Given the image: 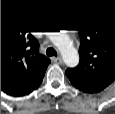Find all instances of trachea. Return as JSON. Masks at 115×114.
Returning a JSON list of instances; mask_svg holds the SVG:
<instances>
[{"label": "trachea", "instance_id": "3493384b", "mask_svg": "<svg viewBox=\"0 0 115 114\" xmlns=\"http://www.w3.org/2000/svg\"><path fill=\"white\" fill-rule=\"evenodd\" d=\"M46 54L47 56H57V52L51 47L46 50Z\"/></svg>", "mask_w": 115, "mask_h": 114}]
</instances>
